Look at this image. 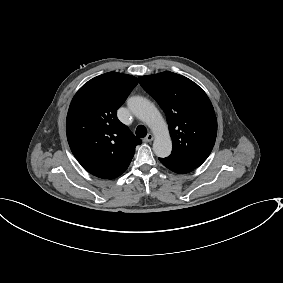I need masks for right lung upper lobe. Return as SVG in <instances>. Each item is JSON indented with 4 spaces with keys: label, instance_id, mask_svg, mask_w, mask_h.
Wrapping results in <instances>:
<instances>
[{
    "label": "right lung upper lobe",
    "instance_id": "obj_1",
    "mask_svg": "<svg viewBox=\"0 0 283 283\" xmlns=\"http://www.w3.org/2000/svg\"><path fill=\"white\" fill-rule=\"evenodd\" d=\"M137 84L134 76L109 72L85 83L72 99L66 120L68 143L78 162L94 176H120L142 142L116 116Z\"/></svg>",
    "mask_w": 283,
    "mask_h": 283
}]
</instances>
